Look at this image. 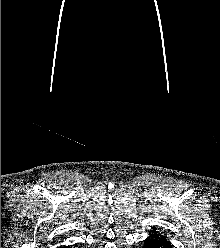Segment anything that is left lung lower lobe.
Wrapping results in <instances>:
<instances>
[{"label": "left lung lower lobe", "instance_id": "1", "mask_svg": "<svg viewBox=\"0 0 220 248\" xmlns=\"http://www.w3.org/2000/svg\"><path fill=\"white\" fill-rule=\"evenodd\" d=\"M150 237L145 240L143 248H172L171 243L156 231H151Z\"/></svg>", "mask_w": 220, "mask_h": 248}]
</instances>
